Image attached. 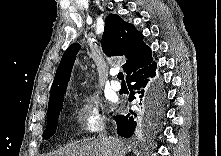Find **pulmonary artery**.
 Wrapping results in <instances>:
<instances>
[{
    "mask_svg": "<svg viewBox=\"0 0 221 156\" xmlns=\"http://www.w3.org/2000/svg\"><path fill=\"white\" fill-rule=\"evenodd\" d=\"M115 74L116 73L114 72L113 75H115ZM111 87H112L113 90L119 91L121 89V84H120L119 81L114 80V81L111 82Z\"/></svg>",
    "mask_w": 221,
    "mask_h": 156,
    "instance_id": "1",
    "label": "pulmonary artery"
}]
</instances>
